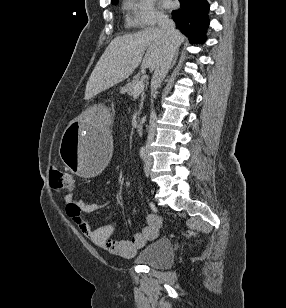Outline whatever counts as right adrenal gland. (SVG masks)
I'll use <instances>...</instances> for the list:
<instances>
[{
    "instance_id": "obj_1",
    "label": "right adrenal gland",
    "mask_w": 286,
    "mask_h": 308,
    "mask_svg": "<svg viewBox=\"0 0 286 308\" xmlns=\"http://www.w3.org/2000/svg\"><path fill=\"white\" fill-rule=\"evenodd\" d=\"M177 56H178V54L176 55L175 60L173 61V65L175 64V62L177 60Z\"/></svg>"
}]
</instances>
